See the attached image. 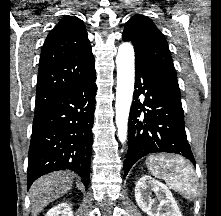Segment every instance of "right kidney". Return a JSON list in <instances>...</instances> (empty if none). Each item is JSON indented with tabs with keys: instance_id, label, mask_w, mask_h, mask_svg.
<instances>
[{
	"instance_id": "1",
	"label": "right kidney",
	"mask_w": 221,
	"mask_h": 216,
	"mask_svg": "<svg viewBox=\"0 0 221 216\" xmlns=\"http://www.w3.org/2000/svg\"><path fill=\"white\" fill-rule=\"evenodd\" d=\"M45 216H73V211L69 204L60 203L51 208Z\"/></svg>"
}]
</instances>
